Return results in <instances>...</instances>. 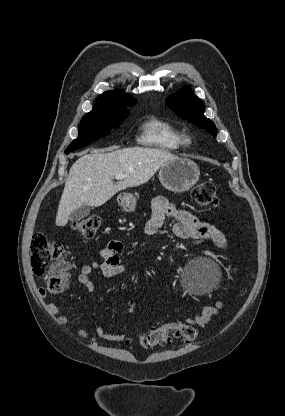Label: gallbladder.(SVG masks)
<instances>
[{"instance_id":"obj_1","label":"gallbladder","mask_w":285,"mask_h":416,"mask_svg":"<svg viewBox=\"0 0 285 416\" xmlns=\"http://www.w3.org/2000/svg\"><path fill=\"white\" fill-rule=\"evenodd\" d=\"M90 210L91 208H88V206H82V208H78V210L72 212L69 218L70 222H79V220H82V218H85V216L90 214Z\"/></svg>"}]
</instances>
